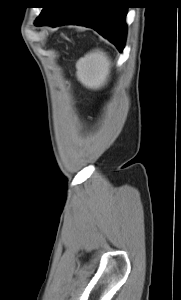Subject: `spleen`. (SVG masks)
<instances>
[{
  "label": "spleen",
  "mask_w": 181,
  "mask_h": 300,
  "mask_svg": "<svg viewBox=\"0 0 181 300\" xmlns=\"http://www.w3.org/2000/svg\"><path fill=\"white\" fill-rule=\"evenodd\" d=\"M111 61L107 54L100 50H93L76 63L78 81L88 89L102 88L109 77Z\"/></svg>",
  "instance_id": "3e777b00"
}]
</instances>
